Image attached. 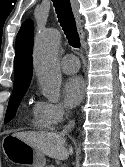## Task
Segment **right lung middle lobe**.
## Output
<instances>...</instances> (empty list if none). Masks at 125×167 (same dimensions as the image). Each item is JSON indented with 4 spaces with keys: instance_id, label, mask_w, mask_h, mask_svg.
I'll use <instances>...</instances> for the list:
<instances>
[{
    "instance_id": "dd1d6c3e",
    "label": "right lung middle lobe",
    "mask_w": 125,
    "mask_h": 167,
    "mask_svg": "<svg viewBox=\"0 0 125 167\" xmlns=\"http://www.w3.org/2000/svg\"><path fill=\"white\" fill-rule=\"evenodd\" d=\"M26 91H27V89L13 92L12 96L10 97L8 108L6 111L5 123H8L9 121H11L14 118V116L16 114V110H17L24 94L26 93Z\"/></svg>"
}]
</instances>
